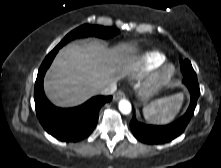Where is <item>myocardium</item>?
<instances>
[{
	"instance_id": "myocardium-1",
	"label": "myocardium",
	"mask_w": 221,
	"mask_h": 168,
	"mask_svg": "<svg viewBox=\"0 0 221 168\" xmlns=\"http://www.w3.org/2000/svg\"><path fill=\"white\" fill-rule=\"evenodd\" d=\"M175 72V66L172 64L162 66L146 86V92L152 94L166 86L174 77Z\"/></svg>"
}]
</instances>
